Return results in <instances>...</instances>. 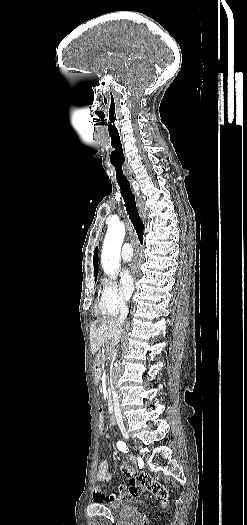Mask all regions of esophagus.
<instances>
[{
  "instance_id": "34e87169",
  "label": "esophagus",
  "mask_w": 247,
  "mask_h": 525,
  "mask_svg": "<svg viewBox=\"0 0 247 525\" xmlns=\"http://www.w3.org/2000/svg\"><path fill=\"white\" fill-rule=\"evenodd\" d=\"M135 195H136L137 197H139V196H140L139 191H135Z\"/></svg>"
}]
</instances>
